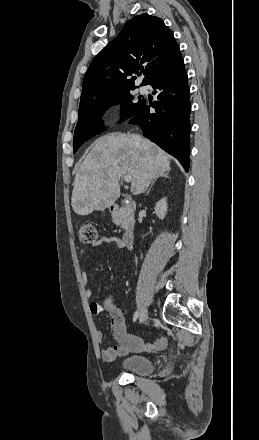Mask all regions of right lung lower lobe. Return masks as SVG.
Segmentation results:
<instances>
[{
    "label": "right lung lower lobe",
    "instance_id": "1",
    "mask_svg": "<svg viewBox=\"0 0 259 440\" xmlns=\"http://www.w3.org/2000/svg\"><path fill=\"white\" fill-rule=\"evenodd\" d=\"M157 101L150 106L143 100L130 123H137L143 135L177 158L184 169L189 168L190 101L187 74L179 54L160 69L149 81Z\"/></svg>",
    "mask_w": 259,
    "mask_h": 440
}]
</instances>
